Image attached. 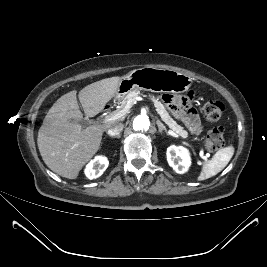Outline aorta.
<instances>
[{
    "mask_svg": "<svg viewBox=\"0 0 267 267\" xmlns=\"http://www.w3.org/2000/svg\"><path fill=\"white\" fill-rule=\"evenodd\" d=\"M150 128V119L147 115H138L133 120V129L136 131H147Z\"/></svg>",
    "mask_w": 267,
    "mask_h": 267,
    "instance_id": "aorta-1",
    "label": "aorta"
}]
</instances>
